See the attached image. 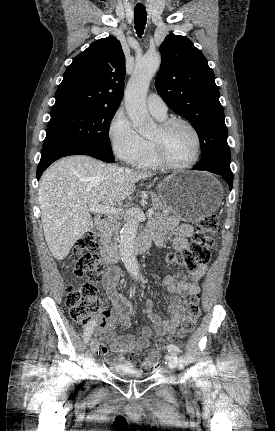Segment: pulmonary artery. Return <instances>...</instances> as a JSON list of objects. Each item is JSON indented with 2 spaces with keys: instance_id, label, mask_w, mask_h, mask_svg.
<instances>
[{
  "instance_id": "1",
  "label": "pulmonary artery",
  "mask_w": 275,
  "mask_h": 431,
  "mask_svg": "<svg viewBox=\"0 0 275 431\" xmlns=\"http://www.w3.org/2000/svg\"><path fill=\"white\" fill-rule=\"evenodd\" d=\"M147 107L153 115L165 116L167 105L164 100L156 93H151L147 97Z\"/></svg>"
}]
</instances>
